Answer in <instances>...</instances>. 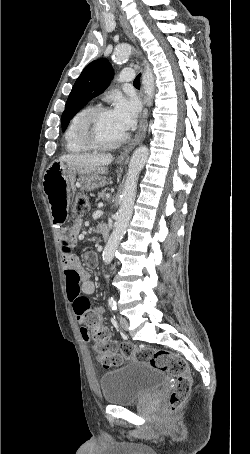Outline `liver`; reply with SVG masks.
<instances>
[{
  "label": "liver",
  "mask_w": 250,
  "mask_h": 454,
  "mask_svg": "<svg viewBox=\"0 0 250 454\" xmlns=\"http://www.w3.org/2000/svg\"><path fill=\"white\" fill-rule=\"evenodd\" d=\"M111 154L84 153V154H67L59 158V162L77 167H104L112 163Z\"/></svg>",
  "instance_id": "1"
}]
</instances>
